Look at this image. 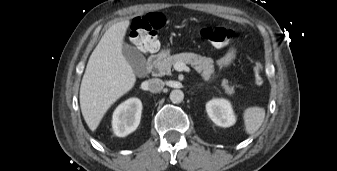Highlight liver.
<instances>
[{
  "label": "liver",
  "mask_w": 337,
  "mask_h": 171,
  "mask_svg": "<svg viewBox=\"0 0 337 171\" xmlns=\"http://www.w3.org/2000/svg\"><path fill=\"white\" fill-rule=\"evenodd\" d=\"M130 22L112 25L92 52L80 86V107L86 124L95 131L104 114L136 82L133 68L123 55Z\"/></svg>",
  "instance_id": "obj_1"
}]
</instances>
